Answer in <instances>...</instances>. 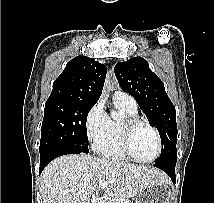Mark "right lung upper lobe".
<instances>
[{"instance_id": "1", "label": "right lung upper lobe", "mask_w": 214, "mask_h": 203, "mask_svg": "<svg viewBox=\"0 0 214 203\" xmlns=\"http://www.w3.org/2000/svg\"><path fill=\"white\" fill-rule=\"evenodd\" d=\"M107 68L93 58L77 56L54 81L48 100L96 103L102 93Z\"/></svg>"}]
</instances>
